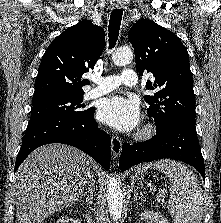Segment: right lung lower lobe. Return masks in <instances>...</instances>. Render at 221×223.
<instances>
[{"label": "right lung lower lobe", "mask_w": 221, "mask_h": 223, "mask_svg": "<svg viewBox=\"0 0 221 223\" xmlns=\"http://www.w3.org/2000/svg\"><path fill=\"white\" fill-rule=\"evenodd\" d=\"M49 143L74 146L92 156L105 170L109 169L111 139L98 128L94 112L82 118L54 116L29 123L14 171L33 150Z\"/></svg>", "instance_id": "1"}]
</instances>
